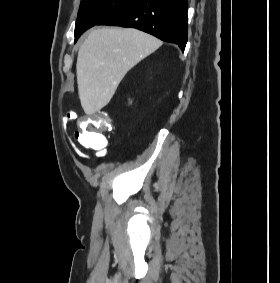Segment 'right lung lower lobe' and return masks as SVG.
<instances>
[{"mask_svg":"<svg viewBox=\"0 0 280 283\" xmlns=\"http://www.w3.org/2000/svg\"><path fill=\"white\" fill-rule=\"evenodd\" d=\"M187 0H134L98 25L130 27L185 49L188 40Z\"/></svg>","mask_w":280,"mask_h":283,"instance_id":"1","label":"right lung lower lobe"}]
</instances>
